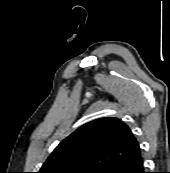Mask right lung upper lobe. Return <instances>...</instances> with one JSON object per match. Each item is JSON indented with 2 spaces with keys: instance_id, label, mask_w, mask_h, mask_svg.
<instances>
[{
  "instance_id": "right-lung-upper-lobe-1",
  "label": "right lung upper lobe",
  "mask_w": 170,
  "mask_h": 173,
  "mask_svg": "<svg viewBox=\"0 0 170 173\" xmlns=\"http://www.w3.org/2000/svg\"><path fill=\"white\" fill-rule=\"evenodd\" d=\"M139 152L138 141L125 123L114 117L100 118L86 123L64 139L39 173H102Z\"/></svg>"
}]
</instances>
